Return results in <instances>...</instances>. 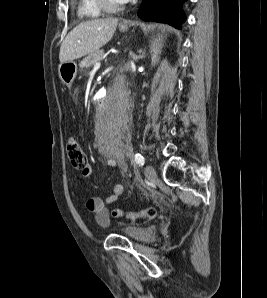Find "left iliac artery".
Here are the masks:
<instances>
[{
    "label": "left iliac artery",
    "instance_id": "obj_1",
    "mask_svg": "<svg viewBox=\"0 0 267 298\" xmlns=\"http://www.w3.org/2000/svg\"><path fill=\"white\" fill-rule=\"evenodd\" d=\"M135 162L138 166L142 167L145 163V158L140 153H136Z\"/></svg>",
    "mask_w": 267,
    "mask_h": 298
}]
</instances>
